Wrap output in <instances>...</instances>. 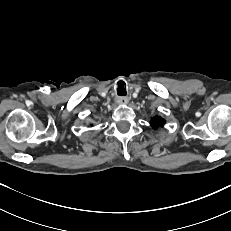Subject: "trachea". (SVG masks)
Here are the masks:
<instances>
[{
    "mask_svg": "<svg viewBox=\"0 0 231 231\" xmlns=\"http://www.w3.org/2000/svg\"><path fill=\"white\" fill-rule=\"evenodd\" d=\"M117 94L120 96H125L127 94L126 85L124 86L123 83H119L117 88Z\"/></svg>",
    "mask_w": 231,
    "mask_h": 231,
    "instance_id": "1",
    "label": "trachea"
}]
</instances>
